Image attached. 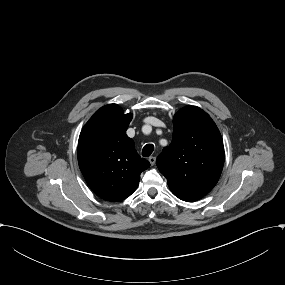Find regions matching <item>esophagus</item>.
<instances>
[{
  "mask_svg": "<svg viewBox=\"0 0 285 285\" xmlns=\"http://www.w3.org/2000/svg\"><path fill=\"white\" fill-rule=\"evenodd\" d=\"M148 160H149V162H150L151 165H154L155 162H156V157L151 156V157L148 158Z\"/></svg>",
  "mask_w": 285,
  "mask_h": 285,
  "instance_id": "esophagus-1",
  "label": "esophagus"
}]
</instances>
